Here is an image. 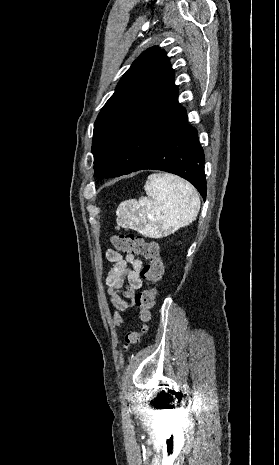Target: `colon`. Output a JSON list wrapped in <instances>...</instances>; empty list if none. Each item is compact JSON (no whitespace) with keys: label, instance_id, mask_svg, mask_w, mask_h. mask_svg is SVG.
Instances as JSON below:
<instances>
[{"label":"colon","instance_id":"5ec220e1","mask_svg":"<svg viewBox=\"0 0 279 465\" xmlns=\"http://www.w3.org/2000/svg\"><path fill=\"white\" fill-rule=\"evenodd\" d=\"M112 244L126 253L141 255L147 260V264L141 271L149 288L135 296V304L140 309L139 318L142 322L138 331H128L125 335V348L140 341L142 335L148 332V323L151 319V309L155 304L157 285L163 276L164 266L160 256L159 246L156 242L146 241L142 236L133 233L115 235L111 238Z\"/></svg>","mask_w":279,"mask_h":465}]
</instances>
